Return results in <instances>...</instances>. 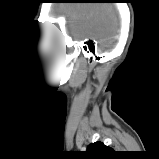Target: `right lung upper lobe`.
I'll return each instance as SVG.
<instances>
[{
  "mask_svg": "<svg viewBox=\"0 0 159 159\" xmlns=\"http://www.w3.org/2000/svg\"><path fill=\"white\" fill-rule=\"evenodd\" d=\"M108 152H113V150L101 142L92 143L87 147V154L94 159H103Z\"/></svg>",
  "mask_w": 159,
  "mask_h": 159,
  "instance_id": "1",
  "label": "right lung upper lobe"
}]
</instances>
